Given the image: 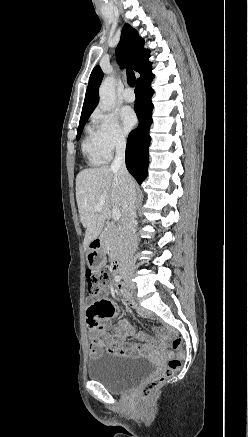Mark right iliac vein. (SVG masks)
<instances>
[{
  "mask_svg": "<svg viewBox=\"0 0 248 437\" xmlns=\"http://www.w3.org/2000/svg\"><path fill=\"white\" fill-rule=\"evenodd\" d=\"M125 280L127 281V283L133 285L132 282H131V276L126 275V276H125Z\"/></svg>",
  "mask_w": 248,
  "mask_h": 437,
  "instance_id": "1",
  "label": "right iliac vein"
}]
</instances>
